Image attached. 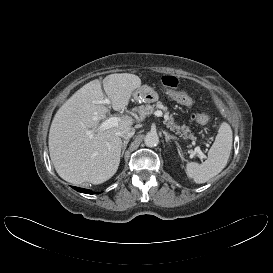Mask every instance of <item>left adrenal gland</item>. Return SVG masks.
Instances as JSON below:
<instances>
[{"label": "left adrenal gland", "instance_id": "obj_1", "mask_svg": "<svg viewBox=\"0 0 273 273\" xmlns=\"http://www.w3.org/2000/svg\"><path fill=\"white\" fill-rule=\"evenodd\" d=\"M163 133H164V135H165V141H166L167 143H169L170 140L172 139V140H174L175 143L177 144V141H176V140H177V137L168 134V132H166V131H163Z\"/></svg>", "mask_w": 273, "mask_h": 273}]
</instances>
